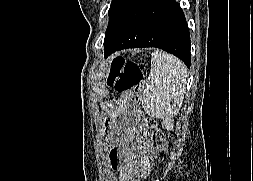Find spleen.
<instances>
[{
	"instance_id": "1",
	"label": "spleen",
	"mask_w": 253,
	"mask_h": 181,
	"mask_svg": "<svg viewBox=\"0 0 253 181\" xmlns=\"http://www.w3.org/2000/svg\"><path fill=\"white\" fill-rule=\"evenodd\" d=\"M186 80L187 68L178 58L161 50L153 51L142 94L145 112L159 119L173 118L182 104Z\"/></svg>"
}]
</instances>
